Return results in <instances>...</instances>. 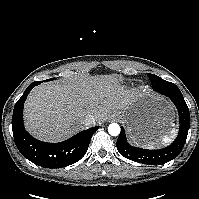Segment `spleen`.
<instances>
[{"mask_svg":"<svg viewBox=\"0 0 199 199\" xmlns=\"http://www.w3.org/2000/svg\"><path fill=\"white\" fill-rule=\"evenodd\" d=\"M176 130L172 129L170 131V134H165L162 135L159 139H157L156 141H149L147 142L144 146L149 147V148H153L155 144L157 145H165L171 142L172 138L175 136Z\"/></svg>","mask_w":199,"mask_h":199,"instance_id":"obj_1","label":"spleen"}]
</instances>
